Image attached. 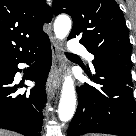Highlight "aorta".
Returning a JSON list of instances; mask_svg holds the SVG:
<instances>
[{
  "instance_id": "762f6f07",
  "label": "aorta",
  "mask_w": 136,
  "mask_h": 136,
  "mask_svg": "<svg viewBox=\"0 0 136 136\" xmlns=\"http://www.w3.org/2000/svg\"><path fill=\"white\" fill-rule=\"evenodd\" d=\"M71 30V19L67 15H60L54 22V33L56 38L64 39ZM76 95L74 81L70 75L66 76L63 82L61 99L58 108L60 121H69L75 112Z\"/></svg>"
}]
</instances>
